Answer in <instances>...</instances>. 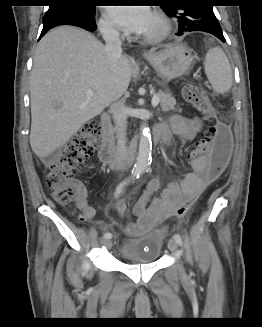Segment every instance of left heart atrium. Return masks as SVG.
<instances>
[{"instance_id": "1", "label": "left heart atrium", "mask_w": 262, "mask_h": 327, "mask_svg": "<svg viewBox=\"0 0 262 327\" xmlns=\"http://www.w3.org/2000/svg\"><path fill=\"white\" fill-rule=\"evenodd\" d=\"M110 18L124 31L143 33L149 27L153 15L143 5H118L109 8Z\"/></svg>"}]
</instances>
